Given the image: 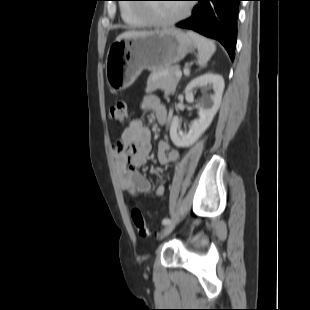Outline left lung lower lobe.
<instances>
[{"instance_id":"0a47b994","label":"left lung lower lobe","mask_w":310,"mask_h":310,"mask_svg":"<svg viewBox=\"0 0 310 310\" xmlns=\"http://www.w3.org/2000/svg\"><path fill=\"white\" fill-rule=\"evenodd\" d=\"M193 15L176 24L177 27L194 30L206 37L218 40L227 50L231 60L235 57L237 41V17L242 0H195Z\"/></svg>"}]
</instances>
